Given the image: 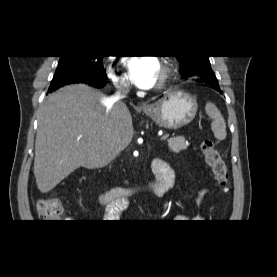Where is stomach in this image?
I'll return each instance as SVG.
<instances>
[{
  "instance_id": "stomach-1",
  "label": "stomach",
  "mask_w": 277,
  "mask_h": 277,
  "mask_svg": "<svg viewBox=\"0 0 277 277\" xmlns=\"http://www.w3.org/2000/svg\"><path fill=\"white\" fill-rule=\"evenodd\" d=\"M197 101L191 95L175 90L164 95L156 103L144 108V113L158 126L176 130L189 124L197 113Z\"/></svg>"
}]
</instances>
